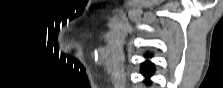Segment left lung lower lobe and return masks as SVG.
<instances>
[{
    "instance_id": "0a47b994",
    "label": "left lung lower lobe",
    "mask_w": 223,
    "mask_h": 88,
    "mask_svg": "<svg viewBox=\"0 0 223 88\" xmlns=\"http://www.w3.org/2000/svg\"><path fill=\"white\" fill-rule=\"evenodd\" d=\"M153 72V67L149 63H144L142 67V74L146 76H150Z\"/></svg>"
}]
</instances>
